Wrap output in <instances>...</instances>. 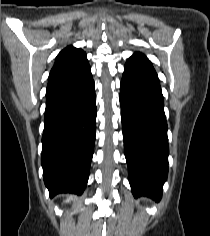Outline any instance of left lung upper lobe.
Returning <instances> with one entry per match:
<instances>
[{
    "label": "left lung upper lobe",
    "instance_id": "left-lung-upper-lobe-1",
    "mask_svg": "<svg viewBox=\"0 0 210 236\" xmlns=\"http://www.w3.org/2000/svg\"><path fill=\"white\" fill-rule=\"evenodd\" d=\"M128 60L139 61V62H149L150 63V61L141 53H135Z\"/></svg>",
    "mask_w": 210,
    "mask_h": 236
}]
</instances>
